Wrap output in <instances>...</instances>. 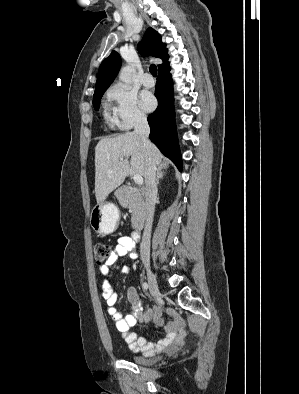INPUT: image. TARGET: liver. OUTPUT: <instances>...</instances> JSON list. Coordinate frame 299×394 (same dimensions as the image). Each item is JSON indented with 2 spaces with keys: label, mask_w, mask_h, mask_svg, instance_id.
<instances>
[{
  "label": "liver",
  "mask_w": 299,
  "mask_h": 394,
  "mask_svg": "<svg viewBox=\"0 0 299 394\" xmlns=\"http://www.w3.org/2000/svg\"><path fill=\"white\" fill-rule=\"evenodd\" d=\"M152 155L158 167L163 155L152 144ZM128 157H131L130 162ZM123 159V160H121ZM146 152L142 141L134 132L101 139L95 147V196L98 203L120 186L127 175L140 174L145 177Z\"/></svg>",
  "instance_id": "6515ba94"
}]
</instances>
